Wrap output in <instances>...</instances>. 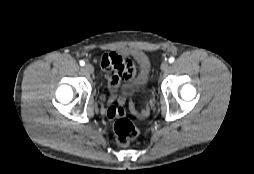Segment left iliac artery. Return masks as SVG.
Instances as JSON below:
<instances>
[{"label":"left iliac artery","instance_id":"1","mask_svg":"<svg viewBox=\"0 0 254 174\" xmlns=\"http://www.w3.org/2000/svg\"><path fill=\"white\" fill-rule=\"evenodd\" d=\"M174 60H175V58H174V57H170V58H169V63H173V62H174Z\"/></svg>","mask_w":254,"mask_h":174}]
</instances>
